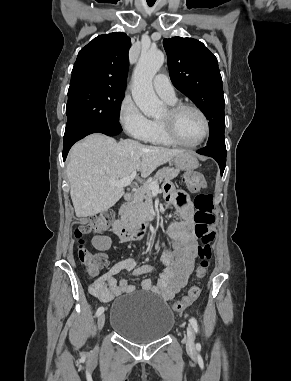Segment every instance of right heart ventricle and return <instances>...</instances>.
<instances>
[{"label": "right heart ventricle", "mask_w": 291, "mask_h": 381, "mask_svg": "<svg viewBox=\"0 0 291 381\" xmlns=\"http://www.w3.org/2000/svg\"><path fill=\"white\" fill-rule=\"evenodd\" d=\"M167 102L170 105L176 104V100L167 101ZM144 141L153 143V144H158V145H166V146L175 145L162 132V129L160 127L158 120L151 121L150 130L148 134L146 135V137L144 138Z\"/></svg>", "instance_id": "right-heart-ventricle-1"}]
</instances>
